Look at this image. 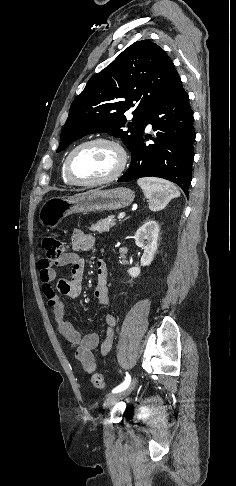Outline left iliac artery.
I'll use <instances>...</instances> for the list:
<instances>
[{
    "label": "left iliac artery",
    "mask_w": 236,
    "mask_h": 486,
    "mask_svg": "<svg viewBox=\"0 0 236 486\" xmlns=\"http://www.w3.org/2000/svg\"><path fill=\"white\" fill-rule=\"evenodd\" d=\"M130 382H131V377H130V375L128 373H126V378H125L124 382L121 383L116 388H114L112 390V393H117V392H120V391L126 389L129 386Z\"/></svg>",
    "instance_id": "44dca946"
}]
</instances>
